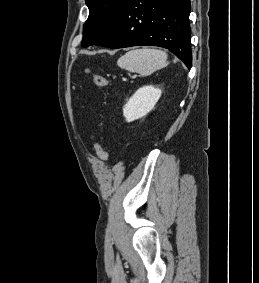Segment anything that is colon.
<instances>
[{"label":"colon","instance_id":"5ec220e1","mask_svg":"<svg viewBox=\"0 0 259 283\" xmlns=\"http://www.w3.org/2000/svg\"><path fill=\"white\" fill-rule=\"evenodd\" d=\"M85 72L90 76L92 83L99 87V88H105L108 86L109 81L102 75L98 73L92 72L90 69H86ZM96 151L98 154V157L103 161H108L109 154L107 149L99 142L96 144Z\"/></svg>","mask_w":259,"mask_h":283}]
</instances>
